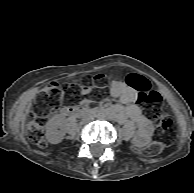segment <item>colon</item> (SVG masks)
Instances as JSON below:
<instances>
[{"label":"colon","instance_id":"1","mask_svg":"<svg viewBox=\"0 0 194 193\" xmlns=\"http://www.w3.org/2000/svg\"><path fill=\"white\" fill-rule=\"evenodd\" d=\"M127 84L139 90L137 102L145 109L151 119L157 121L158 135L147 147L140 150V153L147 157L157 156L163 150L165 143L170 142L176 135L173 120L162 113L163 99L161 95L153 90L146 89L145 82L138 76L130 75ZM106 78L98 74L92 78L84 79L82 84H71L65 87L66 103L86 101H97L103 96L106 88ZM63 102V94L58 83L48 85L27 123L28 139L40 148L46 146L43 130L46 119L51 113L58 109Z\"/></svg>","mask_w":194,"mask_h":193}]
</instances>
